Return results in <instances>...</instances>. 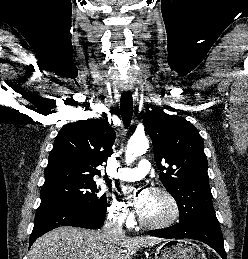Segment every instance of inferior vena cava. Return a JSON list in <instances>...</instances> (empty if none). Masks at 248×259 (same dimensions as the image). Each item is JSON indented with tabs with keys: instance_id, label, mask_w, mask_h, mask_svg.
Listing matches in <instances>:
<instances>
[{
	"instance_id": "obj_1",
	"label": "inferior vena cava",
	"mask_w": 248,
	"mask_h": 259,
	"mask_svg": "<svg viewBox=\"0 0 248 259\" xmlns=\"http://www.w3.org/2000/svg\"><path fill=\"white\" fill-rule=\"evenodd\" d=\"M123 218L110 215L105 223L104 232L110 236H124Z\"/></svg>"
}]
</instances>
